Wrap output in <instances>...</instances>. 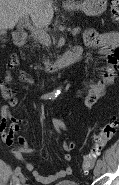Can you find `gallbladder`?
Returning <instances> with one entry per match:
<instances>
[{"label":"gallbladder","instance_id":"obj_1","mask_svg":"<svg viewBox=\"0 0 119 185\" xmlns=\"http://www.w3.org/2000/svg\"><path fill=\"white\" fill-rule=\"evenodd\" d=\"M21 23V22H20ZM6 34V31L3 29H0V36Z\"/></svg>","mask_w":119,"mask_h":185}]
</instances>
